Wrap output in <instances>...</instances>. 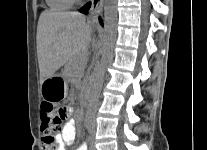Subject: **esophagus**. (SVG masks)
Segmentation results:
<instances>
[{
	"mask_svg": "<svg viewBox=\"0 0 207 150\" xmlns=\"http://www.w3.org/2000/svg\"><path fill=\"white\" fill-rule=\"evenodd\" d=\"M104 0H91V8L88 15V20L91 23L97 24L98 17L102 10Z\"/></svg>",
	"mask_w": 207,
	"mask_h": 150,
	"instance_id": "1",
	"label": "esophagus"
}]
</instances>
